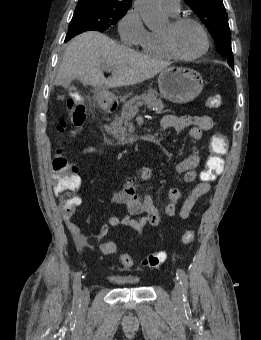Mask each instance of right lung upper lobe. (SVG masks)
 <instances>
[{
  "mask_svg": "<svg viewBox=\"0 0 261 340\" xmlns=\"http://www.w3.org/2000/svg\"><path fill=\"white\" fill-rule=\"evenodd\" d=\"M78 4H97L130 8L131 0H79Z\"/></svg>",
  "mask_w": 261,
  "mask_h": 340,
  "instance_id": "obj_1",
  "label": "right lung upper lobe"
}]
</instances>
